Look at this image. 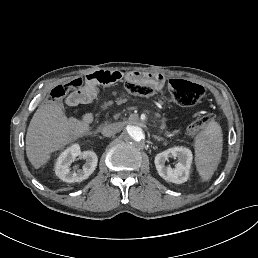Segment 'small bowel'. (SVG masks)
I'll return each mask as SVG.
<instances>
[{
    "label": "small bowel",
    "instance_id": "1",
    "mask_svg": "<svg viewBox=\"0 0 258 258\" xmlns=\"http://www.w3.org/2000/svg\"><path fill=\"white\" fill-rule=\"evenodd\" d=\"M96 95V88L86 85L82 90L70 94L67 98V103L71 106L86 103L91 101ZM92 115L86 113L83 115L82 120L84 123L92 122Z\"/></svg>",
    "mask_w": 258,
    "mask_h": 258
}]
</instances>
